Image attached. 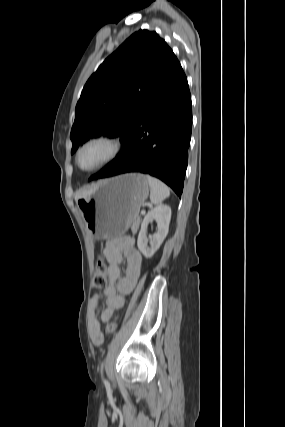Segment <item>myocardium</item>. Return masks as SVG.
Segmentation results:
<instances>
[{
	"instance_id": "myocardium-1",
	"label": "myocardium",
	"mask_w": 285,
	"mask_h": 427,
	"mask_svg": "<svg viewBox=\"0 0 285 427\" xmlns=\"http://www.w3.org/2000/svg\"><path fill=\"white\" fill-rule=\"evenodd\" d=\"M94 143H105L109 146L110 151H109L108 155L99 164H97L91 168H83L81 166V163H80L81 155H82L83 151L88 146H90ZM121 150H122V142L118 137L111 135V134H106V133L98 134V135H95V136L89 138L88 140H86L79 147V149L76 153L75 162H76V165L79 168V170H81L82 172H86V173L96 172V171H99V170L105 168L109 164H111L118 157Z\"/></svg>"
}]
</instances>
